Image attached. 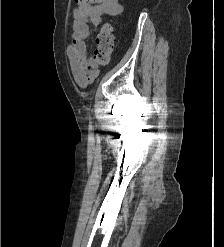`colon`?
Segmentation results:
<instances>
[{
  "label": "colon",
  "instance_id": "5ec220e1",
  "mask_svg": "<svg viewBox=\"0 0 224 247\" xmlns=\"http://www.w3.org/2000/svg\"><path fill=\"white\" fill-rule=\"evenodd\" d=\"M76 3L80 2L75 0ZM115 38L112 26L107 23L103 25L96 39V49L93 55L94 61L99 65H105L109 62L114 50Z\"/></svg>",
  "mask_w": 224,
  "mask_h": 247
}]
</instances>
